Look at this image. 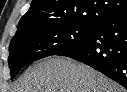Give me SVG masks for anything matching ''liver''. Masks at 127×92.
Segmentation results:
<instances>
[{
	"instance_id": "6515ba94",
	"label": "liver",
	"mask_w": 127,
	"mask_h": 92,
	"mask_svg": "<svg viewBox=\"0 0 127 92\" xmlns=\"http://www.w3.org/2000/svg\"><path fill=\"white\" fill-rule=\"evenodd\" d=\"M116 82L71 58L53 56L30 66L13 92H124Z\"/></svg>"
}]
</instances>
